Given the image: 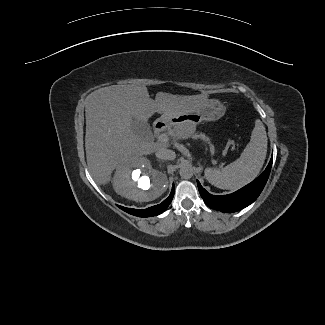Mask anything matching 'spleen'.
I'll list each match as a JSON object with an SVG mask.
<instances>
[{"label": "spleen", "instance_id": "3e777b00", "mask_svg": "<svg viewBox=\"0 0 325 325\" xmlns=\"http://www.w3.org/2000/svg\"><path fill=\"white\" fill-rule=\"evenodd\" d=\"M267 134L259 119L251 134L250 142L240 158L224 168H206L205 176L209 183L220 189L234 190L254 180L266 158Z\"/></svg>", "mask_w": 325, "mask_h": 325}]
</instances>
